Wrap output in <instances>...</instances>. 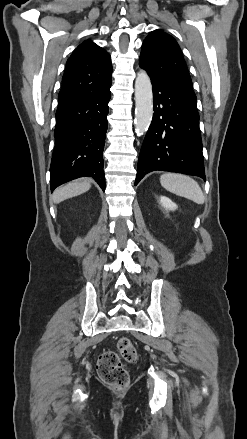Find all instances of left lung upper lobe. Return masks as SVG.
Here are the masks:
<instances>
[{
    "label": "left lung upper lobe",
    "instance_id": "left-lung-upper-lobe-1",
    "mask_svg": "<svg viewBox=\"0 0 247 439\" xmlns=\"http://www.w3.org/2000/svg\"><path fill=\"white\" fill-rule=\"evenodd\" d=\"M139 64L149 76L196 99L182 51L176 40L163 30L152 31L144 40Z\"/></svg>",
    "mask_w": 247,
    "mask_h": 439
}]
</instances>
